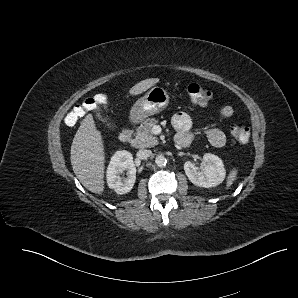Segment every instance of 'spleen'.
I'll return each instance as SVG.
<instances>
[{
  "instance_id": "obj_1",
  "label": "spleen",
  "mask_w": 298,
  "mask_h": 298,
  "mask_svg": "<svg viewBox=\"0 0 298 298\" xmlns=\"http://www.w3.org/2000/svg\"><path fill=\"white\" fill-rule=\"evenodd\" d=\"M237 169H232L227 177L226 188L228 189L237 178Z\"/></svg>"
}]
</instances>
